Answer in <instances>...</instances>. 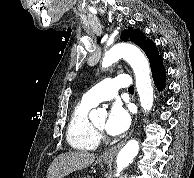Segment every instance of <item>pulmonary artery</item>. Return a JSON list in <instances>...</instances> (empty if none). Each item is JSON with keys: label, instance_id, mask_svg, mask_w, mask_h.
Here are the masks:
<instances>
[{"label": "pulmonary artery", "instance_id": "e3ab8cb5", "mask_svg": "<svg viewBox=\"0 0 194 178\" xmlns=\"http://www.w3.org/2000/svg\"><path fill=\"white\" fill-rule=\"evenodd\" d=\"M131 84L130 77L126 74L115 78H107L84 94L83 100L91 105L113 99L120 88H127Z\"/></svg>", "mask_w": 194, "mask_h": 178}]
</instances>
